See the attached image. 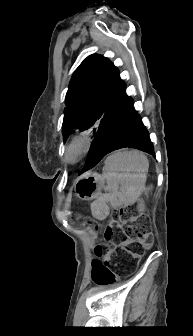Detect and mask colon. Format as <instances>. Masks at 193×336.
<instances>
[{"instance_id":"obj_1","label":"colon","mask_w":193,"mask_h":336,"mask_svg":"<svg viewBox=\"0 0 193 336\" xmlns=\"http://www.w3.org/2000/svg\"><path fill=\"white\" fill-rule=\"evenodd\" d=\"M103 238L104 243L95 248L98 259L93 269V280L101 285L111 284L115 280L116 274L111 269L113 257L132 260L153 245L148 221L138 218L128 209H120L112 215L103 229Z\"/></svg>"}]
</instances>
